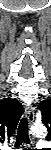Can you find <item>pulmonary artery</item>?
Masks as SVG:
<instances>
[{"label": "pulmonary artery", "instance_id": "e3ab8cb5", "mask_svg": "<svg viewBox=\"0 0 51 150\" xmlns=\"http://www.w3.org/2000/svg\"><path fill=\"white\" fill-rule=\"evenodd\" d=\"M48 145H49L48 142H39L37 144L38 147H45V146H48ZM7 150H11V149H7Z\"/></svg>", "mask_w": 51, "mask_h": 150}]
</instances>
